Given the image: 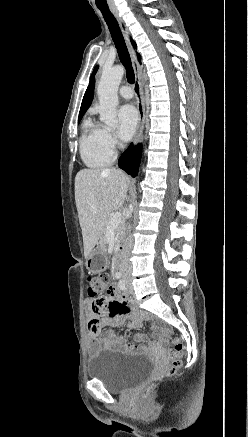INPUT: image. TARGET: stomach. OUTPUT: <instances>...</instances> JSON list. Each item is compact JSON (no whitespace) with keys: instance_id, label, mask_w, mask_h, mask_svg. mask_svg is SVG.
I'll return each instance as SVG.
<instances>
[{"instance_id":"stomach-1","label":"stomach","mask_w":248,"mask_h":437,"mask_svg":"<svg viewBox=\"0 0 248 437\" xmlns=\"http://www.w3.org/2000/svg\"><path fill=\"white\" fill-rule=\"evenodd\" d=\"M88 272H107V257L101 249L90 252L86 259Z\"/></svg>"}]
</instances>
